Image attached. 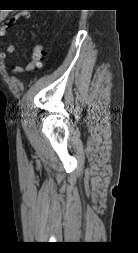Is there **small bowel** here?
Returning a JSON list of instances; mask_svg holds the SVG:
<instances>
[{
  "instance_id": "c3829d8e",
  "label": "small bowel",
  "mask_w": 138,
  "mask_h": 253,
  "mask_svg": "<svg viewBox=\"0 0 138 253\" xmlns=\"http://www.w3.org/2000/svg\"><path fill=\"white\" fill-rule=\"evenodd\" d=\"M30 14L27 12H20L13 17H11L4 25L0 27V37H4L9 32L10 28L20 19L22 18H29ZM2 16L0 17V21L2 20ZM15 47L12 43H9L6 46L5 52L0 53V59L6 60L7 54L13 53ZM23 71V67L21 65H17L14 69H12V74H17Z\"/></svg>"
}]
</instances>
